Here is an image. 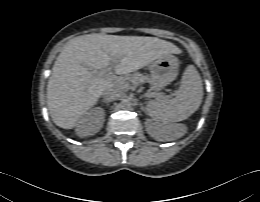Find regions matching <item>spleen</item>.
<instances>
[{"instance_id": "spleen-1", "label": "spleen", "mask_w": 260, "mask_h": 202, "mask_svg": "<svg viewBox=\"0 0 260 202\" xmlns=\"http://www.w3.org/2000/svg\"><path fill=\"white\" fill-rule=\"evenodd\" d=\"M203 98L201 77L193 65H189L182 76L181 84L172 99L152 100L147 113L157 122L164 124L179 122L191 116L200 106ZM182 136L178 132L173 139Z\"/></svg>"}]
</instances>
